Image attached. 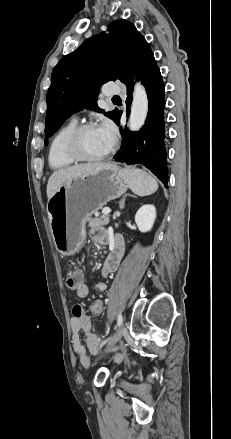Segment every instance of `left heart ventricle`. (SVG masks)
Returning a JSON list of instances; mask_svg holds the SVG:
<instances>
[{"label": "left heart ventricle", "instance_id": "b2bd125f", "mask_svg": "<svg viewBox=\"0 0 231 439\" xmlns=\"http://www.w3.org/2000/svg\"><path fill=\"white\" fill-rule=\"evenodd\" d=\"M78 145L80 151L89 157L99 156L109 149V145L98 128L83 132L79 137Z\"/></svg>", "mask_w": 231, "mask_h": 439}]
</instances>
